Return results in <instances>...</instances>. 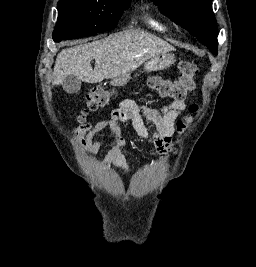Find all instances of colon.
<instances>
[{"label":"colon","mask_w":256,"mask_h":267,"mask_svg":"<svg viewBox=\"0 0 256 267\" xmlns=\"http://www.w3.org/2000/svg\"><path fill=\"white\" fill-rule=\"evenodd\" d=\"M199 71L198 65L192 60H183L179 63V77L173 82L162 76H152L148 84L162 97H169L176 101H184L187 95L196 88L195 77ZM115 89L109 86L98 85L91 90L85 99L81 114L77 116L79 123L83 122L88 113L105 108L115 97ZM200 111L197 103H192L188 108V116L177 120L176 129L184 133L190 119Z\"/></svg>","instance_id":"colon-1"}]
</instances>
